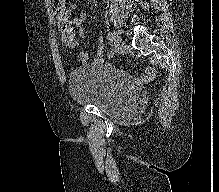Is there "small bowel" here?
Here are the masks:
<instances>
[{
	"label": "small bowel",
	"instance_id": "obj_1",
	"mask_svg": "<svg viewBox=\"0 0 219 192\" xmlns=\"http://www.w3.org/2000/svg\"><path fill=\"white\" fill-rule=\"evenodd\" d=\"M73 7H66L63 5L62 8H57L56 10V17L58 22L60 19L65 17V20L68 23L66 29H60L62 34V41L63 43L72 50L80 49L79 57L81 62H86L88 60V54L85 50L81 48L80 40H82L85 35V24L87 21V13L81 12L78 16H74L72 18L69 17V12L72 10ZM59 27V26H58ZM104 45L102 37L97 38V50H96V58L95 63L101 65L104 62ZM155 76V69L149 68L142 80L143 81H150Z\"/></svg>",
	"mask_w": 219,
	"mask_h": 192
}]
</instances>
